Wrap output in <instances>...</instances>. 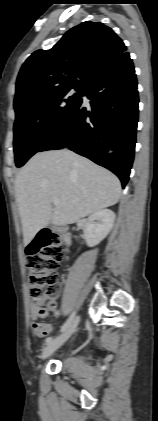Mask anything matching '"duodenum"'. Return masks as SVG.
<instances>
[{"instance_id": "1", "label": "duodenum", "mask_w": 158, "mask_h": 421, "mask_svg": "<svg viewBox=\"0 0 158 421\" xmlns=\"http://www.w3.org/2000/svg\"><path fill=\"white\" fill-rule=\"evenodd\" d=\"M64 240H65V242H66V243H69V241H70V237H69V235H68V234H65V235H64Z\"/></svg>"}]
</instances>
